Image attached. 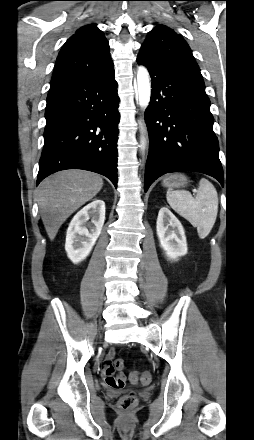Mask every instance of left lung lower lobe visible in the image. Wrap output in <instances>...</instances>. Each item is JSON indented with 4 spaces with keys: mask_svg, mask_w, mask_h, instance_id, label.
Wrapping results in <instances>:
<instances>
[{
    "mask_svg": "<svg viewBox=\"0 0 254 440\" xmlns=\"http://www.w3.org/2000/svg\"><path fill=\"white\" fill-rule=\"evenodd\" d=\"M152 79L151 101L145 112L150 147L144 191L161 175L197 171L223 185L218 139L204 85L183 70L152 58L137 57Z\"/></svg>",
    "mask_w": 254,
    "mask_h": 440,
    "instance_id": "obj_1",
    "label": "left lung lower lobe"
}]
</instances>
